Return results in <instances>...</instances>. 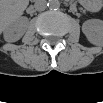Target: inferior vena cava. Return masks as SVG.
<instances>
[{
	"label": "inferior vena cava",
	"mask_w": 103,
	"mask_h": 103,
	"mask_svg": "<svg viewBox=\"0 0 103 103\" xmlns=\"http://www.w3.org/2000/svg\"><path fill=\"white\" fill-rule=\"evenodd\" d=\"M46 1L45 0H37L34 4V7L37 11H44L46 9Z\"/></svg>",
	"instance_id": "inferior-vena-cava-1"
}]
</instances>
